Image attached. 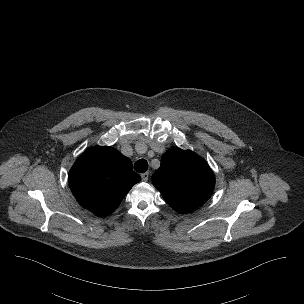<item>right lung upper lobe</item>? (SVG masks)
<instances>
[{
	"label": "right lung upper lobe",
	"mask_w": 304,
	"mask_h": 304,
	"mask_svg": "<svg viewBox=\"0 0 304 304\" xmlns=\"http://www.w3.org/2000/svg\"><path fill=\"white\" fill-rule=\"evenodd\" d=\"M140 180L131 160L107 146L87 149L69 172L70 189L78 203L100 216L112 213Z\"/></svg>",
	"instance_id": "1"
}]
</instances>
